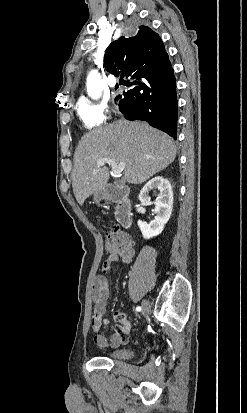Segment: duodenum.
<instances>
[{
  "mask_svg": "<svg viewBox=\"0 0 247 413\" xmlns=\"http://www.w3.org/2000/svg\"><path fill=\"white\" fill-rule=\"evenodd\" d=\"M105 199L116 204L115 216L118 223L127 228L132 224L131 201L124 187L108 184L104 187Z\"/></svg>",
  "mask_w": 247,
  "mask_h": 413,
  "instance_id": "410a0bca",
  "label": "duodenum"
}]
</instances>
